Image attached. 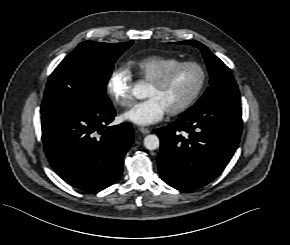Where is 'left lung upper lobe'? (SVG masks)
I'll use <instances>...</instances> for the list:
<instances>
[{
	"label": "left lung upper lobe",
	"instance_id": "5c2ea615",
	"mask_svg": "<svg viewBox=\"0 0 290 245\" xmlns=\"http://www.w3.org/2000/svg\"><path fill=\"white\" fill-rule=\"evenodd\" d=\"M197 47L206 62L210 85L195 106L208 102L240 104V94L231 70L202 43L194 40L178 42Z\"/></svg>",
	"mask_w": 290,
	"mask_h": 245
}]
</instances>
